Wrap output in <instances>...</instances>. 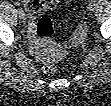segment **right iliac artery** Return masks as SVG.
Listing matches in <instances>:
<instances>
[{"mask_svg": "<svg viewBox=\"0 0 111 106\" xmlns=\"http://www.w3.org/2000/svg\"><path fill=\"white\" fill-rule=\"evenodd\" d=\"M15 5H16L18 11L22 10V8L20 7V4L18 2H15Z\"/></svg>", "mask_w": 111, "mask_h": 106, "instance_id": "1", "label": "right iliac artery"}]
</instances>
